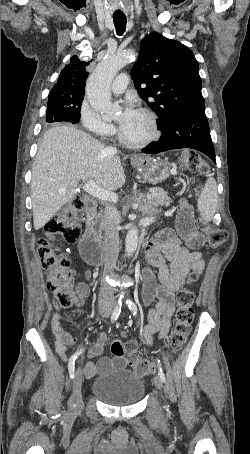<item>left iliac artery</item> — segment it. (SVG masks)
<instances>
[{
	"label": "left iliac artery",
	"mask_w": 250,
	"mask_h": 454,
	"mask_svg": "<svg viewBox=\"0 0 250 454\" xmlns=\"http://www.w3.org/2000/svg\"><path fill=\"white\" fill-rule=\"evenodd\" d=\"M126 304L128 305L129 309L131 310L133 316H137V306L136 304L130 300L129 298L126 299ZM158 370H159V373L158 375L160 376L161 380L163 382H165V375H164V372L162 370V367H161V364H160V360H158Z\"/></svg>",
	"instance_id": "1"
}]
</instances>
